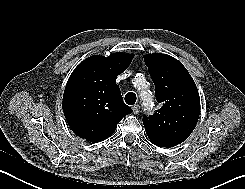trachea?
<instances>
[{
  "label": "trachea",
  "instance_id": "obj_1",
  "mask_svg": "<svg viewBox=\"0 0 245 189\" xmlns=\"http://www.w3.org/2000/svg\"><path fill=\"white\" fill-rule=\"evenodd\" d=\"M136 94L134 92H129L125 95V102L128 104V105H134L135 102H136Z\"/></svg>",
  "mask_w": 245,
  "mask_h": 189
}]
</instances>
